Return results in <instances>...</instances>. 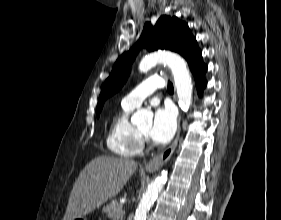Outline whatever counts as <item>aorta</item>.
Segmentation results:
<instances>
[{
	"instance_id": "obj_1",
	"label": "aorta",
	"mask_w": 281,
	"mask_h": 220,
	"mask_svg": "<svg viewBox=\"0 0 281 220\" xmlns=\"http://www.w3.org/2000/svg\"><path fill=\"white\" fill-rule=\"evenodd\" d=\"M157 63L166 64L172 71L180 108L187 112L192 103V83L186 62L171 52L153 53L143 58L139 64L140 72H147ZM151 115L145 109L138 110L131 118L132 123H143ZM167 181V172L163 171L147 188L135 212L134 220H146L147 212L155 202Z\"/></svg>"
}]
</instances>
